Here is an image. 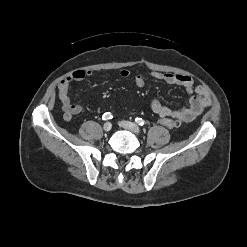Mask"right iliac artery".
Listing matches in <instances>:
<instances>
[{"label":"right iliac artery","instance_id":"obj_1","mask_svg":"<svg viewBox=\"0 0 247 247\" xmlns=\"http://www.w3.org/2000/svg\"><path fill=\"white\" fill-rule=\"evenodd\" d=\"M113 118V115L110 112H106L103 114L102 119L107 121Z\"/></svg>","mask_w":247,"mask_h":247}]
</instances>
